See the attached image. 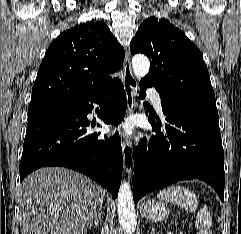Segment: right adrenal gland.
<instances>
[{"mask_svg":"<svg viewBox=\"0 0 241 234\" xmlns=\"http://www.w3.org/2000/svg\"><path fill=\"white\" fill-rule=\"evenodd\" d=\"M100 217H101V211L98 213V215L95 217L94 222L89 226V229L93 226H95L97 228L98 223L100 221Z\"/></svg>","mask_w":241,"mask_h":234,"instance_id":"2a0ac1e0","label":"right adrenal gland"}]
</instances>
